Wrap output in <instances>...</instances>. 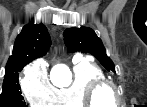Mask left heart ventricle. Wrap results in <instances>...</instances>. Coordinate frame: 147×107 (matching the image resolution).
<instances>
[{
  "label": "left heart ventricle",
  "mask_w": 147,
  "mask_h": 107,
  "mask_svg": "<svg viewBox=\"0 0 147 107\" xmlns=\"http://www.w3.org/2000/svg\"><path fill=\"white\" fill-rule=\"evenodd\" d=\"M96 103L99 106H109L114 104L113 92L109 88H103L96 94Z\"/></svg>",
  "instance_id": "1"
}]
</instances>
